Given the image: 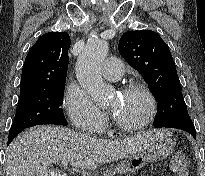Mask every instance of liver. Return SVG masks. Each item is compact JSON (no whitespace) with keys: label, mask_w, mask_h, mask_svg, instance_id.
Here are the masks:
<instances>
[{"label":"liver","mask_w":205,"mask_h":176,"mask_svg":"<svg viewBox=\"0 0 205 176\" xmlns=\"http://www.w3.org/2000/svg\"><path fill=\"white\" fill-rule=\"evenodd\" d=\"M167 135L166 130H151L123 140H104L62 127H34L22 132L8 147L6 176H50L49 165L61 161L93 170L101 163L148 149Z\"/></svg>","instance_id":"1"}]
</instances>
